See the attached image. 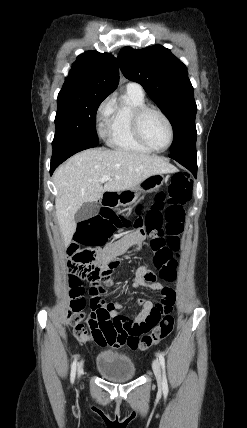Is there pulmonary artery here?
Masks as SVG:
<instances>
[{"instance_id":"e3ab8cb5","label":"pulmonary artery","mask_w":247,"mask_h":428,"mask_svg":"<svg viewBox=\"0 0 247 428\" xmlns=\"http://www.w3.org/2000/svg\"><path fill=\"white\" fill-rule=\"evenodd\" d=\"M127 87H133V88H137L139 90H142V87L138 83H135V82L128 83Z\"/></svg>"}]
</instances>
